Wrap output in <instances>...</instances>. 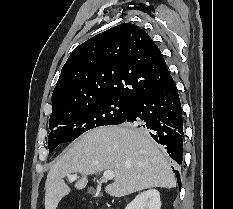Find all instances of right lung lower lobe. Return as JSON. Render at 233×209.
<instances>
[{"label": "right lung lower lobe", "mask_w": 233, "mask_h": 209, "mask_svg": "<svg viewBox=\"0 0 233 209\" xmlns=\"http://www.w3.org/2000/svg\"><path fill=\"white\" fill-rule=\"evenodd\" d=\"M121 123H128L146 131L156 142L165 147L176 163H182L184 139L182 109L171 76L156 89L135 97ZM174 172L180 184L179 171L174 170Z\"/></svg>", "instance_id": "obj_1"}]
</instances>
